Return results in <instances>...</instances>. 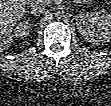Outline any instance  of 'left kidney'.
Here are the masks:
<instances>
[{
    "mask_svg": "<svg viewBox=\"0 0 111 106\" xmlns=\"http://www.w3.org/2000/svg\"><path fill=\"white\" fill-rule=\"evenodd\" d=\"M76 25L82 37L90 43H105L111 39V15L105 11L82 12L76 15Z\"/></svg>",
    "mask_w": 111,
    "mask_h": 106,
    "instance_id": "obj_1",
    "label": "left kidney"
}]
</instances>
